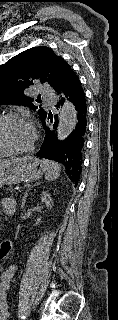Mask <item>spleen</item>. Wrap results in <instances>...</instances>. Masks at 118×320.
I'll list each match as a JSON object with an SVG mask.
<instances>
[{
    "mask_svg": "<svg viewBox=\"0 0 118 320\" xmlns=\"http://www.w3.org/2000/svg\"><path fill=\"white\" fill-rule=\"evenodd\" d=\"M43 163L46 167V180L53 181L60 176L61 166L58 163L48 159H44Z\"/></svg>",
    "mask_w": 118,
    "mask_h": 320,
    "instance_id": "obj_1",
    "label": "spleen"
}]
</instances>
